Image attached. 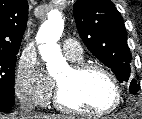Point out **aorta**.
<instances>
[{"instance_id": "obj_1", "label": "aorta", "mask_w": 142, "mask_h": 119, "mask_svg": "<svg viewBox=\"0 0 142 119\" xmlns=\"http://www.w3.org/2000/svg\"><path fill=\"white\" fill-rule=\"evenodd\" d=\"M64 23L62 14L58 10H52L48 14V19L40 26L36 41L39 44V52L42 59L47 64L50 75H54L66 67L67 62L57 44L62 36Z\"/></svg>"}]
</instances>
